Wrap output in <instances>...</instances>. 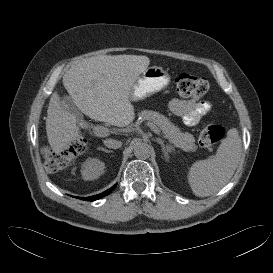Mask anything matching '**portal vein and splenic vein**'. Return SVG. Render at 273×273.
I'll use <instances>...</instances> for the list:
<instances>
[{"instance_id": "obj_1", "label": "portal vein and splenic vein", "mask_w": 273, "mask_h": 273, "mask_svg": "<svg viewBox=\"0 0 273 273\" xmlns=\"http://www.w3.org/2000/svg\"><path fill=\"white\" fill-rule=\"evenodd\" d=\"M148 126L150 127V129L157 135L161 136V132L160 130L154 125V124H148ZM95 132L97 135H106L107 134V129L105 127L102 126H97L95 128Z\"/></svg>"}]
</instances>
